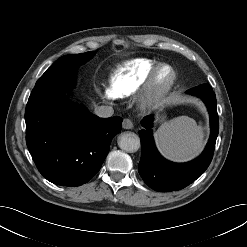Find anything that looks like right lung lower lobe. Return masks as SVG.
I'll use <instances>...</instances> for the list:
<instances>
[{"mask_svg":"<svg viewBox=\"0 0 247 247\" xmlns=\"http://www.w3.org/2000/svg\"><path fill=\"white\" fill-rule=\"evenodd\" d=\"M26 143L43 177L62 186H80L100 170L122 118H99L62 95L29 98Z\"/></svg>","mask_w":247,"mask_h":247,"instance_id":"obj_1","label":"right lung lower lobe"}]
</instances>
